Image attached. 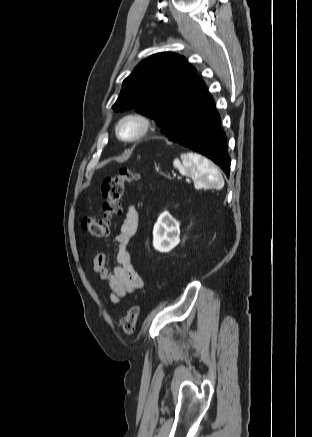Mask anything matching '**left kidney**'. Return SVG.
Listing matches in <instances>:
<instances>
[{
  "mask_svg": "<svg viewBox=\"0 0 312 437\" xmlns=\"http://www.w3.org/2000/svg\"><path fill=\"white\" fill-rule=\"evenodd\" d=\"M180 242L179 222L164 211L153 228V246L160 252H169Z\"/></svg>",
  "mask_w": 312,
  "mask_h": 437,
  "instance_id": "1",
  "label": "left kidney"
}]
</instances>
